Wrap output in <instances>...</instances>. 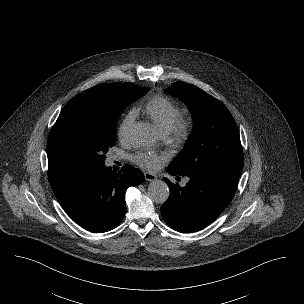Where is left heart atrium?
<instances>
[{"instance_id": "obj_1", "label": "left heart atrium", "mask_w": 304, "mask_h": 304, "mask_svg": "<svg viewBox=\"0 0 304 304\" xmlns=\"http://www.w3.org/2000/svg\"><path fill=\"white\" fill-rule=\"evenodd\" d=\"M166 158L167 156L165 154L140 151L132 156V161L143 169L154 170L158 168Z\"/></svg>"}]
</instances>
